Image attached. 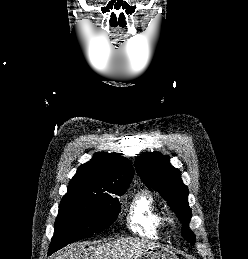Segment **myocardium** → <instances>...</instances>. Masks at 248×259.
Masks as SVG:
<instances>
[{
    "label": "myocardium",
    "mask_w": 248,
    "mask_h": 259,
    "mask_svg": "<svg viewBox=\"0 0 248 259\" xmlns=\"http://www.w3.org/2000/svg\"><path fill=\"white\" fill-rule=\"evenodd\" d=\"M166 222L167 223H173V218L172 217H166Z\"/></svg>",
    "instance_id": "obj_1"
}]
</instances>
